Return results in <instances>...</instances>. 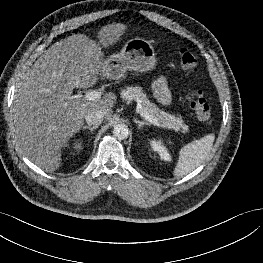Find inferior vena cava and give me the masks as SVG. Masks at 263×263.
Wrapping results in <instances>:
<instances>
[{
    "instance_id": "obj_1",
    "label": "inferior vena cava",
    "mask_w": 263,
    "mask_h": 263,
    "mask_svg": "<svg viewBox=\"0 0 263 263\" xmlns=\"http://www.w3.org/2000/svg\"><path fill=\"white\" fill-rule=\"evenodd\" d=\"M85 119L87 124L98 127L103 122L104 113L101 110L93 109L86 114Z\"/></svg>"
}]
</instances>
